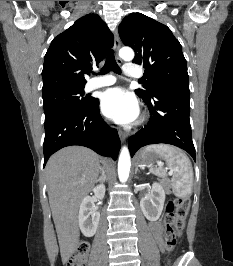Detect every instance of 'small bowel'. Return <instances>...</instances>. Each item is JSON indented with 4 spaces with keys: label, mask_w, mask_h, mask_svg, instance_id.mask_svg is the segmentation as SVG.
Masks as SVG:
<instances>
[{
    "label": "small bowel",
    "mask_w": 233,
    "mask_h": 266,
    "mask_svg": "<svg viewBox=\"0 0 233 266\" xmlns=\"http://www.w3.org/2000/svg\"><path fill=\"white\" fill-rule=\"evenodd\" d=\"M151 231L154 235L156 242L162 245L163 242V226L160 221H154L150 223Z\"/></svg>",
    "instance_id": "c3829d8e"
}]
</instances>
